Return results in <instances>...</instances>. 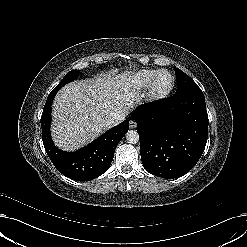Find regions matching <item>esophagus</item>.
<instances>
[{"instance_id":"1","label":"esophagus","mask_w":247,"mask_h":247,"mask_svg":"<svg viewBox=\"0 0 247 247\" xmlns=\"http://www.w3.org/2000/svg\"><path fill=\"white\" fill-rule=\"evenodd\" d=\"M137 127V123L133 120L130 121V128L135 129Z\"/></svg>"}]
</instances>
